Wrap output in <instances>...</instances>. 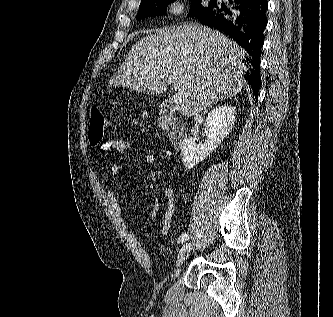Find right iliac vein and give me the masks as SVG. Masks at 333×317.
<instances>
[{
	"mask_svg": "<svg viewBox=\"0 0 333 317\" xmlns=\"http://www.w3.org/2000/svg\"><path fill=\"white\" fill-rule=\"evenodd\" d=\"M193 248V245L191 243H186L180 250L177 256V260H176V267H180L185 260L187 259V257L189 256L191 250Z\"/></svg>",
	"mask_w": 333,
	"mask_h": 317,
	"instance_id": "1",
	"label": "right iliac vein"
}]
</instances>
